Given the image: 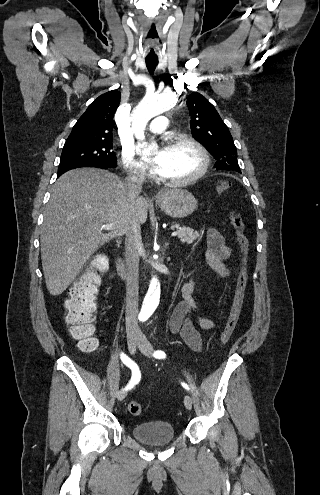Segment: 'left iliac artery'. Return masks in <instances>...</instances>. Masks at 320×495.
<instances>
[{
	"label": "left iliac artery",
	"mask_w": 320,
	"mask_h": 495,
	"mask_svg": "<svg viewBox=\"0 0 320 495\" xmlns=\"http://www.w3.org/2000/svg\"><path fill=\"white\" fill-rule=\"evenodd\" d=\"M154 357L158 358V359H164V358H166V353L162 350H157L154 352ZM181 385L187 390L190 389L189 386L184 382H182Z\"/></svg>",
	"instance_id": "1"
}]
</instances>
